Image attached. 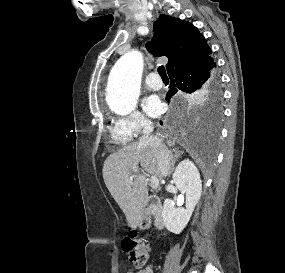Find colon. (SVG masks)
Segmentation results:
<instances>
[{
	"label": "colon",
	"instance_id": "obj_1",
	"mask_svg": "<svg viewBox=\"0 0 285 273\" xmlns=\"http://www.w3.org/2000/svg\"><path fill=\"white\" fill-rule=\"evenodd\" d=\"M122 248L128 254L132 270H139L145 266L149 258V246L144 239H138L135 235L126 237L122 241Z\"/></svg>",
	"mask_w": 285,
	"mask_h": 273
}]
</instances>
